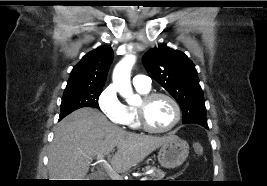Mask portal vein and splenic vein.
I'll return each instance as SVG.
<instances>
[{"instance_id":"portal-vein-and-splenic-vein-1","label":"portal vein and splenic vein","mask_w":267,"mask_h":186,"mask_svg":"<svg viewBox=\"0 0 267 186\" xmlns=\"http://www.w3.org/2000/svg\"><path fill=\"white\" fill-rule=\"evenodd\" d=\"M97 161L105 169L106 173L112 180H122L121 176L112 168V166L104 159V155H98ZM147 177H142L141 181H146Z\"/></svg>"}]
</instances>
